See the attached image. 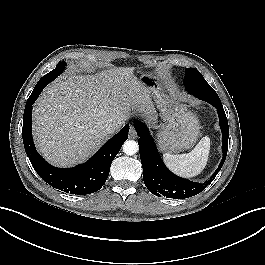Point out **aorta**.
Masks as SVG:
<instances>
[{"instance_id":"obj_1","label":"aorta","mask_w":265,"mask_h":265,"mask_svg":"<svg viewBox=\"0 0 265 265\" xmlns=\"http://www.w3.org/2000/svg\"><path fill=\"white\" fill-rule=\"evenodd\" d=\"M138 143L133 141V140H127L124 144H123V152L126 155H134L138 152Z\"/></svg>"}]
</instances>
